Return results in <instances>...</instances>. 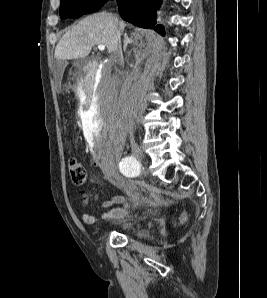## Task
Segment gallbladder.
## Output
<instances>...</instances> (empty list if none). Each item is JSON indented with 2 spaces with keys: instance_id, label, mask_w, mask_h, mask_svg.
Here are the masks:
<instances>
[{
  "instance_id": "obj_1",
  "label": "gallbladder",
  "mask_w": 267,
  "mask_h": 298,
  "mask_svg": "<svg viewBox=\"0 0 267 298\" xmlns=\"http://www.w3.org/2000/svg\"><path fill=\"white\" fill-rule=\"evenodd\" d=\"M56 65H57V66H62V67H64V66H65V63H64V62L57 61V62H56ZM61 70H62V68L55 69V71H56L57 74H58V73H61Z\"/></svg>"
}]
</instances>
